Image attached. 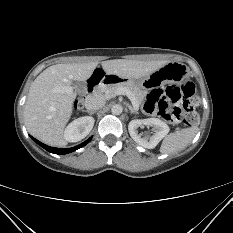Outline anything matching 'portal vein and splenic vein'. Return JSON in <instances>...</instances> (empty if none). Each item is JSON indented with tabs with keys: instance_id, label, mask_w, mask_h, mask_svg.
Masks as SVG:
<instances>
[{
	"instance_id": "portal-vein-and-splenic-vein-1",
	"label": "portal vein and splenic vein",
	"mask_w": 233,
	"mask_h": 233,
	"mask_svg": "<svg viewBox=\"0 0 233 233\" xmlns=\"http://www.w3.org/2000/svg\"><path fill=\"white\" fill-rule=\"evenodd\" d=\"M117 95H126L130 101L132 102V105L134 107L135 110H138V106L135 105L134 103V95L126 88H118L116 91H115V96Z\"/></svg>"
}]
</instances>
